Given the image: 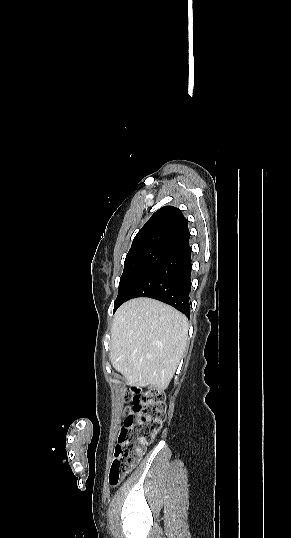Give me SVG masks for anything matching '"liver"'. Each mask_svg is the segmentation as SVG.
Masks as SVG:
<instances>
[{"instance_id":"obj_1","label":"liver","mask_w":291,"mask_h":538,"mask_svg":"<svg viewBox=\"0 0 291 538\" xmlns=\"http://www.w3.org/2000/svg\"><path fill=\"white\" fill-rule=\"evenodd\" d=\"M188 320L173 307L136 298L116 311L111 362L128 385L166 389L187 347Z\"/></svg>"}]
</instances>
